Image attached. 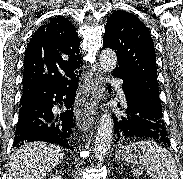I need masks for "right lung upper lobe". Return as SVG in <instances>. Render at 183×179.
I'll use <instances>...</instances> for the list:
<instances>
[{
  "instance_id": "1",
  "label": "right lung upper lobe",
  "mask_w": 183,
  "mask_h": 179,
  "mask_svg": "<svg viewBox=\"0 0 183 179\" xmlns=\"http://www.w3.org/2000/svg\"><path fill=\"white\" fill-rule=\"evenodd\" d=\"M79 45L75 27L64 17L39 27L24 56V93L41 84L67 85L77 81L76 73L83 65Z\"/></svg>"
}]
</instances>
